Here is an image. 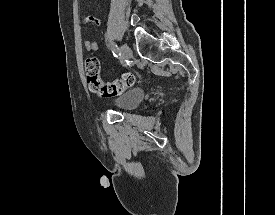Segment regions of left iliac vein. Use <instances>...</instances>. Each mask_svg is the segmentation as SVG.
Segmentation results:
<instances>
[{"label":"left iliac vein","instance_id":"1","mask_svg":"<svg viewBox=\"0 0 275 215\" xmlns=\"http://www.w3.org/2000/svg\"><path fill=\"white\" fill-rule=\"evenodd\" d=\"M121 53L125 59H130L132 55V51L130 47L126 44L121 45Z\"/></svg>","mask_w":275,"mask_h":215}]
</instances>
